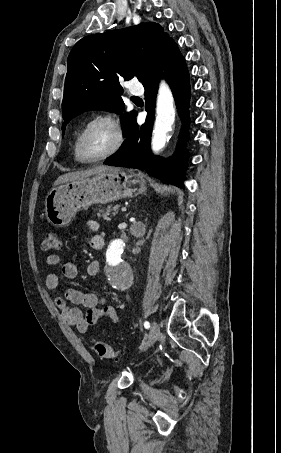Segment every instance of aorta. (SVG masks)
Instances as JSON below:
<instances>
[{"mask_svg": "<svg viewBox=\"0 0 281 453\" xmlns=\"http://www.w3.org/2000/svg\"><path fill=\"white\" fill-rule=\"evenodd\" d=\"M175 121L174 97L165 81L159 85L156 118L151 140V147L154 153L161 151L169 140V132ZM138 232V231H137ZM126 247L123 239L113 240L106 251V261L110 267L108 281L117 290L128 289L133 282V273L129 265L122 263L121 255Z\"/></svg>", "mask_w": 281, "mask_h": 453, "instance_id": "1", "label": "aorta"}]
</instances>
